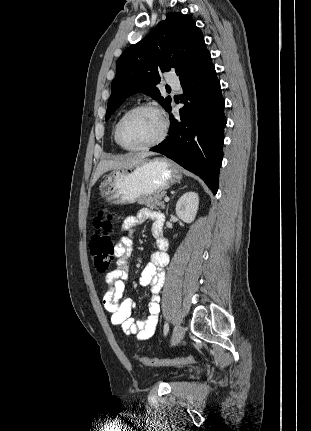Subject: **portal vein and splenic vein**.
<instances>
[{
  "label": "portal vein and splenic vein",
  "instance_id": "obj_1",
  "mask_svg": "<svg viewBox=\"0 0 311 431\" xmlns=\"http://www.w3.org/2000/svg\"><path fill=\"white\" fill-rule=\"evenodd\" d=\"M170 198H164V202H169Z\"/></svg>",
  "mask_w": 311,
  "mask_h": 431
}]
</instances>
